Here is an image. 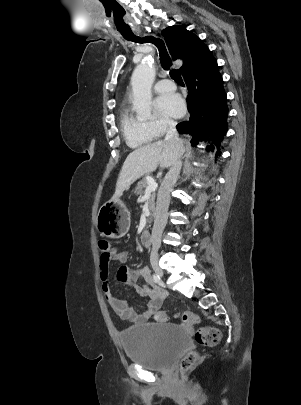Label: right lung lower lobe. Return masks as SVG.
<instances>
[{"instance_id": "obj_1", "label": "right lung lower lobe", "mask_w": 301, "mask_h": 405, "mask_svg": "<svg viewBox=\"0 0 301 405\" xmlns=\"http://www.w3.org/2000/svg\"><path fill=\"white\" fill-rule=\"evenodd\" d=\"M189 95L186 99L190 118L179 123L180 133L192 136V145L199 140L211 141L207 149H219L227 132L228 108L223 80L215 59L183 75Z\"/></svg>"}]
</instances>
